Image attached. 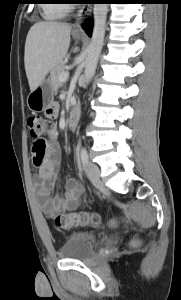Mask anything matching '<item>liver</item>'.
Returning <instances> with one entry per match:
<instances>
[{"label":"liver","mask_w":181,"mask_h":300,"mask_svg":"<svg viewBox=\"0 0 181 300\" xmlns=\"http://www.w3.org/2000/svg\"><path fill=\"white\" fill-rule=\"evenodd\" d=\"M71 25L38 22L29 30L25 42L24 64L30 90H35L61 61L70 45Z\"/></svg>","instance_id":"obj_1"}]
</instances>
